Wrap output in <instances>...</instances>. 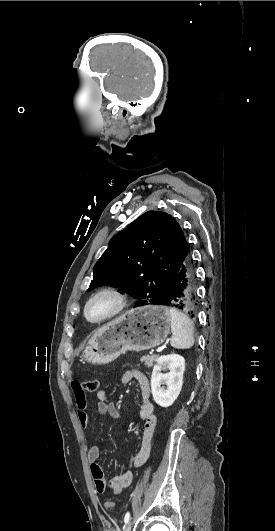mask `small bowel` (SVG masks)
Instances as JSON below:
<instances>
[{
  "label": "small bowel",
  "mask_w": 275,
  "mask_h": 531,
  "mask_svg": "<svg viewBox=\"0 0 275 531\" xmlns=\"http://www.w3.org/2000/svg\"><path fill=\"white\" fill-rule=\"evenodd\" d=\"M136 380L139 386L141 403L139 417L143 424V432L141 439V446L137 452H133L127 462L125 470L119 476L114 477L109 483L103 478V470L98 463L100 457V448L98 445H93L87 452V458L91 463V473L95 483V489L99 494L104 493L107 489L117 494L129 487L133 480V468L143 465L148 456L149 448L157 425V415L155 412V406L151 400V385L147 376L135 369L127 370L121 377L122 384H129L131 381ZM78 383L71 385V394L73 397L78 398L83 396L84 389L78 388ZM97 409L101 414H107L112 419L118 420L120 418V412L117 407L108 400V393L106 390H99L96 394ZM76 405L79 409V420L83 428H87L90 424V416L87 411V399L80 398L77 400Z\"/></svg>",
  "instance_id": "obj_1"
}]
</instances>
